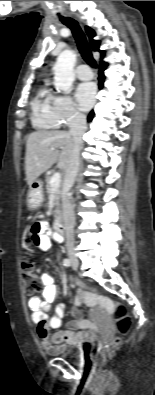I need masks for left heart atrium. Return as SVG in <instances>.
Listing matches in <instances>:
<instances>
[{"mask_svg":"<svg viewBox=\"0 0 155 395\" xmlns=\"http://www.w3.org/2000/svg\"><path fill=\"white\" fill-rule=\"evenodd\" d=\"M96 98V86L94 83H82L77 87L76 99L82 110H88Z\"/></svg>","mask_w":155,"mask_h":395,"instance_id":"left-heart-atrium-1","label":"left heart atrium"}]
</instances>
